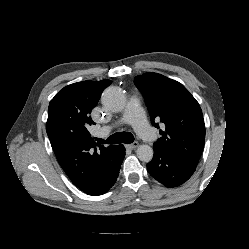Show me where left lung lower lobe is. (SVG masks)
Instances as JSON below:
<instances>
[{"mask_svg": "<svg viewBox=\"0 0 249 249\" xmlns=\"http://www.w3.org/2000/svg\"><path fill=\"white\" fill-rule=\"evenodd\" d=\"M150 175L166 187H175L186 182L196 170L164 149L154 148V157L147 164Z\"/></svg>", "mask_w": 249, "mask_h": 249, "instance_id": "1", "label": "left lung lower lobe"}]
</instances>
